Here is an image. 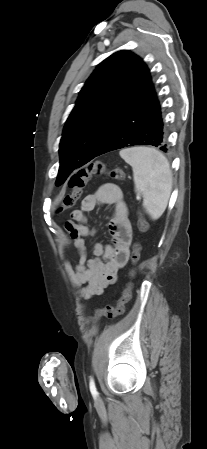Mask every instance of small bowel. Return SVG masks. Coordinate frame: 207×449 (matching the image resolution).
Listing matches in <instances>:
<instances>
[{
  "instance_id": "small-bowel-1",
  "label": "small bowel",
  "mask_w": 207,
  "mask_h": 449,
  "mask_svg": "<svg viewBox=\"0 0 207 449\" xmlns=\"http://www.w3.org/2000/svg\"><path fill=\"white\" fill-rule=\"evenodd\" d=\"M113 205L109 230L113 237L110 245H94L92 259H87L85 238L95 235L96 230L86 225L87 214L97 205ZM65 230L73 240L79 261L73 264L66 259L64 267L73 287L77 288L85 299L98 296L113 284L119 270L127 263L132 241V228L128 209L124 203L121 189L111 183L104 184L87 195L80 207L66 221Z\"/></svg>"
}]
</instances>
